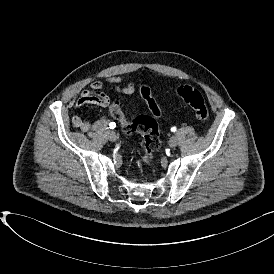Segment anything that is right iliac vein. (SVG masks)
<instances>
[{"instance_id": "right-iliac-vein-1", "label": "right iliac vein", "mask_w": 274, "mask_h": 274, "mask_svg": "<svg viewBox=\"0 0 274 274\" xmlns=\"http://www.w3.org/2000/svg\"><path fill=\"white\" fill-rule=\"evenodd\" d=\"M108 138L111 142H115L117 140V135L114 131H110L108 133Z\"/></svg>"}]
</instances>
